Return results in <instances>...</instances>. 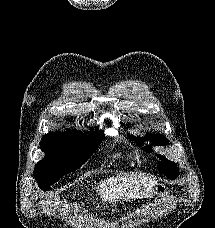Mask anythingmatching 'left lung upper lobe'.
I'll return each instance as SVG.
<instances>
[{
  "mask_svg": "<svg viewBox=\"0 0 215 228\" xmlns=\"http://www.w3.org/2000/svg\"><path fill=\"white\" fill-rule=\"evenodd\" d=\"M128 137L135 141L138 146H143V142L147 139H150L151 145H166L168 143V139L161 134H153V136L149 135L148 137L143 139L140 137H134L130 134H128ZM144 150L147 152L152 151L150 149V146H145ZM157 157L161 159V161L158 162L159 171L161 173H164V175L168 179H176L179 174L176 164L174 162L167 160L161 155H157Z\"/></svg>",
  "mask_w": 215,
  "mask_h": 228,
  "instance_id": "left-lung-upper-lobe-1",
  "label": "left lung upper lobe"
}]
</instances>
